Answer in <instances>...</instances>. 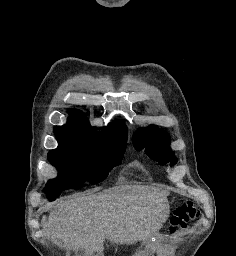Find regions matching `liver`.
Instances as JSON below:
<instances>
[{"label":"liver","instance_id":"1","mask_svg":"<svg viewBox=\"0 0 236 256\" xmlns=\"http://www.w3.org/2000/svg\"><path fill=\"white\" fill-rule=\"evenodd\" d=\"M167 194L151 186H114L92 196L59 202L51 210L47 230L51 240L83 252L103 254L105 240L131 244L146 238L152 216L168 218Z\"/></svg>","mask_w":236,"mask_h":256}]
</instances>
